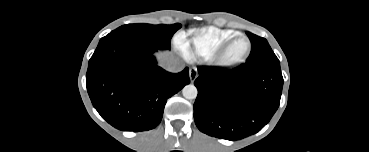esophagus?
Here are the masks:
<instances>
[{
  "mask_svg": "<svg viewBox=\"0 0 369 152\" xmlns=\"http://www.w3.org/2000/svg\"><path fill=\"white\" fill-rule=\"evenodd\" d=\"M197 76H198L197 68L196 67H191L189 69V77H190L191 82H194V80L197 78Z\"/></svg>",
  "mask_w": 369,
  "mask_h": 152,
  "instance_id": "1",
  "label": "esophagus"
}]
</instances>
